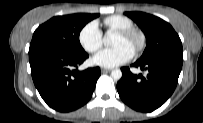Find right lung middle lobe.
<instances>
[{
    "instance_id": "right-lung-middle-lobe-1",
    "label": "right lung middle lobe",
    "mask_w": 203,
    "mask_h": 123,
    "mask_svg": "<svg viewBox=\"0 0 203 123\" xmlns=\"http://www.w3.org/2000/svg\"><path fill=\"white\" fill-rule=\"evenodd\" d=\"M99 14H72L51 18L34 32L30 46H42L69 53L84 52L79 34L82 28Z\"/></svg>"
}]
</instances>
